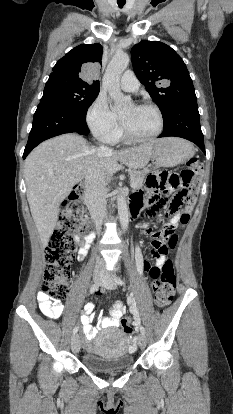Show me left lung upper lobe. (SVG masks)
<instances>
[{
  "instance_id": "left-lung-upper-lobe-1",
  "label": "left lung upper lobe",
  "mask_w": 233,
  "mask_h": 414,
  "mask_svg": "<svg viewBox=\"0 0 233 414\" xmlns=\"http://www.w3.org/2000/svg\"><path fill=\"white\" fill-rule=\"evenodd\" d=\"M131 57L137 78L160 108L163 119L180 101L196 98L186 65L170 46L141 41L131 49Z\"/></svg>"
}]
</instances>
